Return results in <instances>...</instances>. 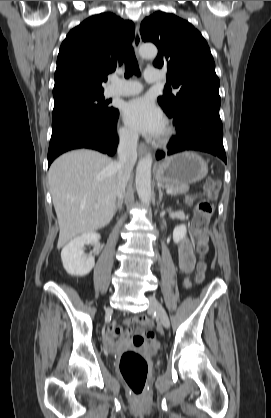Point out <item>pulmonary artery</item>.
Instances as JSON below:
<instances>
[{"instance_id":"e3ab8cb5","label":"pulmonary artery","mask_w":271,"mask_h":418,"mask_svg":"<svg viewBox=\"0 0 271 418\" xmlns=\"http://www.w3.org/2000/svg\"><path fill=\"white\" fill-rule=\"evenodd\" d=\"M145 80L148 83H158L162 81V76L158 70L148 68L145 70ZM142 86L137 81H122L117 78L112 80V85L108 88L106 94L108 97L133 96L140 93Z\"/></svg>"}]
</instances>
